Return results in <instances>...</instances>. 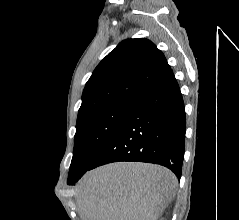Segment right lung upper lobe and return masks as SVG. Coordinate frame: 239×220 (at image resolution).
Segmentation results:
<instances>
[{"label":"right lung upper lobe","instance_id":"1","mask_svg":"<svg viewBox=\"0 0 239 220\" xmlns=\"http://www.w3.org/2000/svg\"><path fill=\"white\" fill-rule=\"evenodd\" d=\"M172 74L165 56L151 41L124 40L99 63L86 83L78 119L113 106L132 104Z\"/></svg>","mask_w":239,"mask_h":220}]
</instances>
